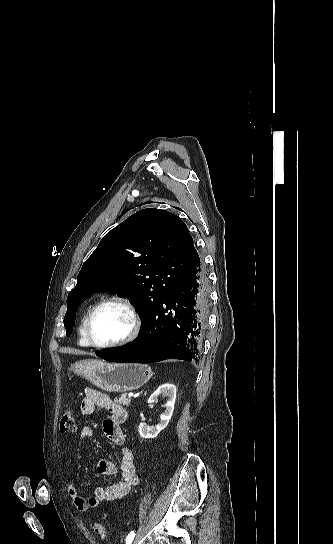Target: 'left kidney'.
Returning <instances> with one entry per match:
<instances>
[{"label":"left kidney","instance_id":"1","mask_svg":"<svg viewBox=\"0 0 333 544\" xmlns=\"http://www.w3.org/2000/svg\"><path fill=\"white\" fill-rule=\"evenodd\" d=\"M167 396L168 401L165 404V412L160 416V422L155 427L148 426L145 423H140L138 432L139 435L144 438H155L163 429H165L172 417L174 411V404L176 400V387L173 384H162L158 389L150 396L148 403L156 402L160 395Z\"/></svg>","mask_w":333,"mask_h":544}]
</instances>
